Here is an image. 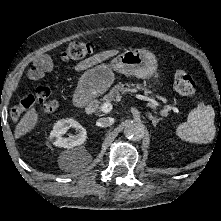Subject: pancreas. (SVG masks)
<instances>
[{
    "instance_id": "cf45deb5",
    "label": "pancreas",
    "mask_w": 221,
    "mask_h": 221,
    "mask_svg": "<svg viewBox=\"0 0 221 221\" xmlns=\"http://www.w3.org/2000/svg\"><path fill=\"white\" fill-rule=\"evenodd\" d=\"M133 87H135V88H133ZM135 90H142L145 95H153L152 91L148 90L145 87V85L143 86L138 83H136V84L118 83L109 91L108 94L103 96V98L100 100L99 104H101V106H102L105 103L116 102L117 100H119L121 98L122 95H124L126 93L134 92ZM101 106L97 107V111L101 110Z\"/></svg>"
}]
</instances>
